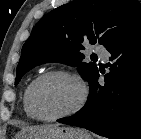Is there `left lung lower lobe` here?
<instances>
[{"instance_id": "left-lung-lower-lobe-1", "label": "left lung lower lobe", "mask_w": 141, "mask_h": 139, "mask_svg": "<svg viewBox=\"0 0 141 139\" xmlns=\"http://www.w3.org/2000/svg\"><path fill=\"white\" fill-rule=\"evenodd\" d=\"M106 49L112 64L105 84L98 70L91 77L85 106L60 123L88 129L112 139H141V23Z\"/></svg>"}]
</instances>
